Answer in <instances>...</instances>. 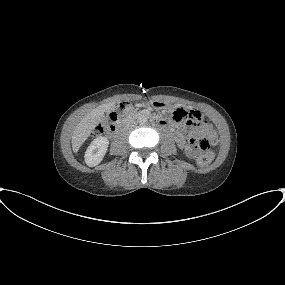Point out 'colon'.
I'll return each mask as SVG.
<instances>
[{
    "label": "colon",
    "mask_w": 285,
    "mask_h": 285,
    "mask_svg": "<svg viewBox=\"0 0 285 285\" xmlns=\"http://www.w3.org/2000/svg\"><path fill=\"white\" fill-rule=\"evenodd\" d=\"M129 108V104L127 102H120L116 105V108L109 113V120L114 121L118 117V113L125 111ZM173 117L177 121H185V120H195L196 116L193 110H189L183 107H177L173 112ZM216 141V134L214 132L210 133L209 139L199 137L194 129H190L187 133V142L190 148L199 151V155L197 157V164L202 167H208L213 158L214 153L211 150L210 142L214 143Z\"/></svg>",
    "instance_id": "1"
}]
</instances>
